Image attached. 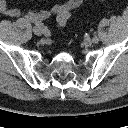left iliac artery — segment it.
<instances>
[{
    "mask_svg": "<svg viewBox=\"0 0 128 128\" xmlns=\"http://www.w3.org/2000/svg\"><path fill=\"white\" fill-rule=\"evenodd\" d=\"M98 41H99V39L95 36V37L93 38V42H94V43H98Z\"/></svg>",
    "mask_w": 128,
    "mask_h": 128,
    "instance_id": "left-iliac-artery-1",
    "label": "left iliac artery"
}]
</instances>
